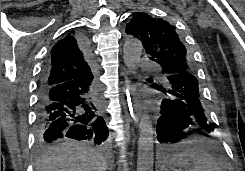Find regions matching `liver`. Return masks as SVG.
Listing matches in <instances>:
<instances>
[{"mask_svg": "<svg viewBox=\"0 0 245 171\" xmlns=\"http://www.w3.org/2000/svg\"><path fill=\"white\" fill-rule=\"evenodd\" d=\"M36 171H106L107 161L93 149L77 142L51 147L35 162Z\"/></svg>", "mask_w": 245, "mask_h": 171, "instance_id": "liver-1", "label": "liver"}]
</instances>
